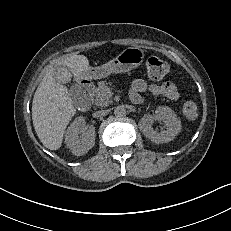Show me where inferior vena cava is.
I'll return each mask as SVG.
<instances>
[{
    "label": "inferior vena cava",
    "instance_id": "1",
    "mask_svg": "<svg viewBox=\"0 0 231 231\" xmlns=\"http://www.w3.org/2000/svg\"><path fill=\"white\" fill-rule=\"evenodd\" d=\"M109 113V110H99V111H96L93 115L94 117H102V116H105Z\"/></svg>",
    "mask_w": 231,
    "mask_h": 231
}]
</instances>
